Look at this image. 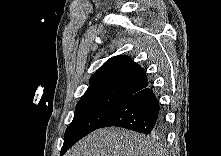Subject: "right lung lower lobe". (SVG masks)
<instances>
[{"mask_svg": "<svg viewBox=\"0 0 221 156\" xmlns=\"http://www.w3.org/2000/svg\"><path fill=\"white\" fill-rule=\"evenodd\" d=\"M164 123L159 102L153 91L147 87L121 103L100 128L116 126L143 134H159Z\"/></svg>", "mask_w": 221, "mask_h": 156, "instance_id": "right-lung-lower-lobe-1", "label": "right lung lower lobe"}]
</instances>
